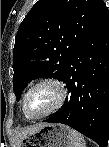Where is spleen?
Instances as JSON below:
<instances>
[{
	"mask_svg": "<svg viewBox=\"0 0 109 147\" xmlns=\"http://www.w3.org/2000/svg\"><path fill=\"white\" fill-rule=\"evenodd\" d=\"M72 136V147H86L83 136L75 130L71 132Z\"/></svg>",
	"mask_w": 109,
	"mask_h": 147,
	"instance_id": "spleen-1",
	"label": "spleen"
}]
</instances>
